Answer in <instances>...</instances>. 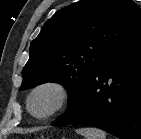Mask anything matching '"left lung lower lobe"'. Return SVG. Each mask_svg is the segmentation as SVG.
<instances>
[{
  "instance_id": "0a47b994",
  "label": "left lung lower lobe",
  "mask_w": 141,
  "mask_h": 139,
  "mask_svg": "<svg viewBox=\"0 0 141 139\" xmlns=\"http://www.w3.org/2000/svg\"><path fill=\"white\" fill-rule=\"evenodd\" d=\"M67 124L141 139V29L104 58L76 101L51 125Z\"/></svg>"
}]
</instances>
